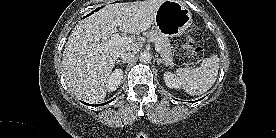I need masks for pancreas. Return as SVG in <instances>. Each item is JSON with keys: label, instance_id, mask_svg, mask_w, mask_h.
Listing matches in <instances>:
<instances>
[{"label": "pancreas", "instance_id": "cf45deb5", "mask_svg": "<svg viewBox=\"0 0 276 138\" xmlns=\"http://www.w3.org/2000/svg\"><path fill=\"white\" fill-rule=\"evenodd\" d=\"M144 35L153 41H155V44L158 45L159 47V53L163 60L168 64V65H174L173 59H172V51H171V45L170 41L167 36L159 33L158 31H148L145 32Z\"/></svg>", "mask_w": 276, "mask_h": 138}]
</instances>
